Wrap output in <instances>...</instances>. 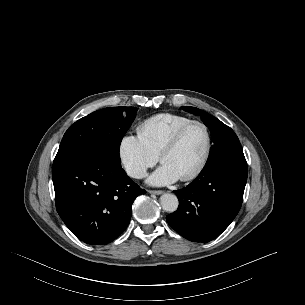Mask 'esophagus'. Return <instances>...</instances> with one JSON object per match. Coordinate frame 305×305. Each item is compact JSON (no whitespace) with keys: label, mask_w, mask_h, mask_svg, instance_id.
Here are the masks:
<instances>
[{"label":"esophagus","mask_w":305,"mask_h":305,"mask_svg":"<svg viewBox=\"0 0 305 305\" xmlns=\"http://www.w3.org/2000/svg\"><path fill=\"white\" fill-rule=\"evenodd\" d=\"M148 192L150 194H155V195H160V194L164 193V191H162V190H149Z\"/></svg>","instance_id":"esophagus-1"}]
</instances>
